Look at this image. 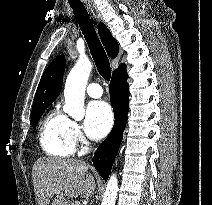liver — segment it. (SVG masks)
I'll use <instances>...</instances> for the list:
<instances>
[{
  "instance_id": "obj_1",
  "label": "liver",
  "mask_w": 212,
  "mask_h": 205,
  "mask_svg": "<svg viewBox=\"0 0 212 205\" xmlns=\"http://www.w3.org/2000/svg\"><path fill=\"white\" fill-rule=\"evenodd\" d=\"M32 176L38 205H49L54 195L88 198L96 187L88 165L80 160L40 158Z\"/></svg>"
}]
</instances>
